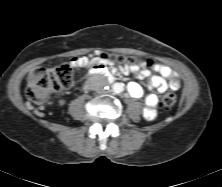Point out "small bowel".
<instances>
[{
  "label": "small bowel",
  "instance_id": "c3829d8e",
  "mask_svg": "<svg viewBox=\"0 0 222 187\" xmlns=\"http://www.w3.org/2000/svg\"><path fill=\"white\" fill-rule=\"evenodd\" d=\"M71 67L79 71L82 68L92 67H107L109 71H114L112 67L114 62L100 61L95 56H82L74 58L71 63ZM117 69L122 74H133L139 80H148V87L154 88L158 93H162L166 90H177L180 87V80L177 74L167 65L164 64H152L151 66H130V65H118ZM128 92L130 96L134 98L142 97L144 89L136 82H130L128 84ZM158 103V97L156 94H149L145 98L144 116L152 120L156 117V106Z\"/></svg>",
  "mask_w": 222,
  "mask_h": 187
}]
</instances>
